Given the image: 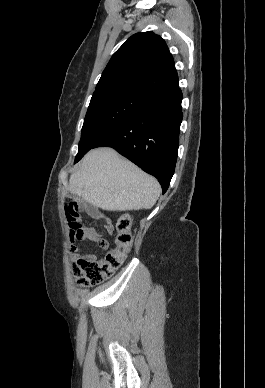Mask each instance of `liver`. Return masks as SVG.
<instances>
[{"label":"liver","instance_id":"obj_1","mask_svg":"<svg viewBox=\"0 0 265 388\" xmlns=\"http://www.w3.org/2000/svg\"><path fill=\"white\" fill-rule=\"evenodd\" d=\"M68 188L91 206L112 212L150 210L161 194V186L153 176L112 148L88 152L79 170L72 174Z\"/></svg>","mask_w":265,"mask_h":388}]
</instances>
